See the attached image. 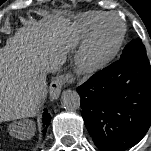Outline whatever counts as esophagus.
I'll use <instances>...</instances> for the list:
<instances>
[{"mask_svg":"<svg viewBox=\"0 0 151 151\" xmlns=\"http://www.w3.org/2000/svg\"><path fill=\"white\" fill-rule=\"evenodd\" d=\"M75 79L76 78L72 74H66L58 76L54 80H52L49 87L51 98L57 99L61 93L62 87L67 83L74 82Z\"/></svg>","mask_w":151,"mask_h":151,"instance_id":"obj_1","label":"esophagus"}]
</instances>
